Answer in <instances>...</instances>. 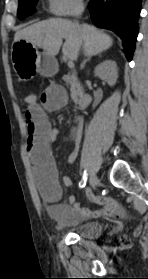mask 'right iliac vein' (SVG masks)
Returning <instances> with one entry per match:
<instances>
[{
    "mask_svg": "<svg viewBox=\"0 0 148 279\" xmlns=\"http://www.w3.org/2000/svg\"><path fill=\"white\" fill-rule=\"evenodd\" d=\"M97 183H98L97 176L94 173H92L91 176H90V179H89L90 187L91 188L96 187Z\"/></svg>",
    "mask_w": 148,
    "mask_h": 279,
    "instance_id": "obj_1",
    "label": "right iliac vein"
}]
</instances>
